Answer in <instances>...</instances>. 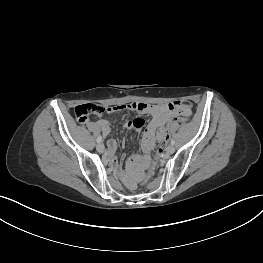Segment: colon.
Instances as JSON below:
<instances>
[{"instance_id": "1", "label": "colon", "mask_w": 263, "mask_h": 263, "mask_svg": "<svg viewBox=\"0 0 263 263\" xmlns=\"http://www.w3.org/2000/svg\"><path fill=\"white\" fill-rule=\"evenodd\" d=\"M176 103H180L182 106L184 104H189L191 107H193V104L189 101H178ZM107 110L106 107L100 105V104H94V103H89V104H83L80 106H77L75 109V116L76 119L80 123H84L90 115L93 114H101ZM174 123L178 124H188V116H182L181 118L178 117H173L170 119V121L165 125V139L162 140L161 145L157 148L156 154L153 156V160L151 161L150 165L146 169V173L144 178L141 179V183L139 184L141 187L147 186L150 183V179L152 178L151 176L153 175L152 173L154 172V169L158 162L160 161V158L163 155V151L165 146H168L171 141V129L172 125Z\"/></svg>"}]
</instances>
